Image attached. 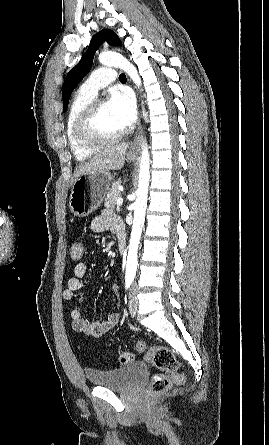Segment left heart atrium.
I'll return each mask as SVG.
<instances>
[{
	"label": "left heart atrium",
	"instance_id": "39dd6f15",
	"mask_svg": "<svg viewBox=\"0 0 269 445\" xmlns=\"http://www.w3.org/2000/svg\"><path fill=\"white\" fill-rule=\"evenodd\" d=\"M107 103L123 128L134 123L137 114L136 103L130 92L113 91Z\"/></svg>",
	"mask_w": 269,
	"mask_h": 445
}]
</instances>
